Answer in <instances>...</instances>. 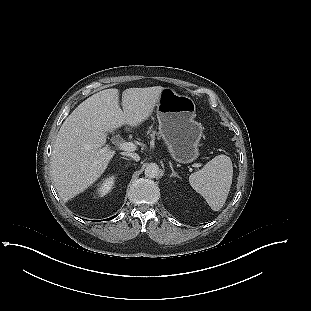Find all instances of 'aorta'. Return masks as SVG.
Here are the masks:
<instances>
[{"mask_svg": "<svg viewBox=\"0 0 311 311\" xmlns=\"http://www.w3.org/2000/svg\"><path fill=\"white\" fill-rule=\"evenodd\" d=\"M147 178H157L160 174L159 166L156 163H149L144 171Z\"/></svg>", "mask_w": 311, "mask_h": 311, "instance_id": "aorta-1", "label": "aorta"}]
</instances>
